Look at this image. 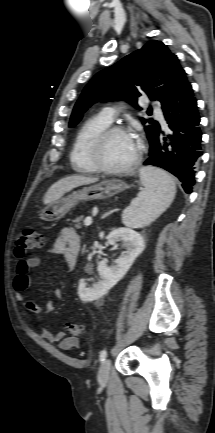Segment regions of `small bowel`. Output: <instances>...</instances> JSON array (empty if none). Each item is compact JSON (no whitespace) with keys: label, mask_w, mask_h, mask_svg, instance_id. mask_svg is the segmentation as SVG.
I'll return each mask as SVG.
<instances>
[{"label":"small bowel","mask_w":215,"mask_h":433,"mask_svg":"<svg viewBox=\"0 0 215 433\" xmlns=\"http://www.w3.org/2000/svg\"><path fill=\"white\" fill-rule=\"evenodd\" d=\"M81 250V238L77 231L70 227L62 228L50 249V253L60 256L64 260L65 271L68 272L75 266ZM40 259L36 256L20 259L16 266V276L13 281V287L18 300L22 303L26 314H39L40 307L31 299L24 297V292L31 286V278L29 271L40 265ZM57 298L61 297L60 292H56ZM39 334L42 338L51 343H58L62 350H71L78 348L80 345L79 339L76 337H66L64 331L57 332L49 331L43 327H39Z\"/></svg>","instance_id":"obj_1"}]
</instances>
